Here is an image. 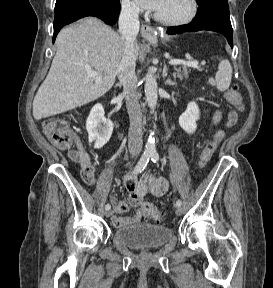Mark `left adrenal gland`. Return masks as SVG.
Wrapping results in <instances>:
<instances>
[{"instance_id":"1","label":"left adrenal gland","mask_w":273,"mask_h":288,"mask_svg":"<svg viewBox=\"0 0 273 288\" xmlns=\"http://www.w3.org/2000/svg\"><path fill=\"white\" fill-rule=\"evenodd\" d=\"M167 71H168V68L167 66L165 65L164 66V69H163V78L165 79L167 77ZM176 83L173 82L170 78H167V80L165 81V85H170V86H173L175 85Z\"/></svg>"}]
</instances>
